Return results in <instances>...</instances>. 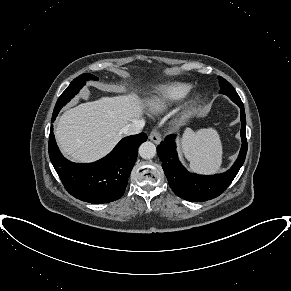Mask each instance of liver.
<instances>
[{
	"label": "liver",
	"instance_id": "liver-1",
	"mask_svg": "<svg viewBox=\"0 0 291 291\" xmlns=\"http://www.w3.org/2000/svg\"><path fill=\"white\" fill-rule=\"evenodd\" d=\"M135 94L102 97L66 110L55 129L61 151L75 162H93L108 154L122 129L143 112Z\"/></svg>",
	"mask_w": 291,
	"mask_h": 291
}]
</instances>
